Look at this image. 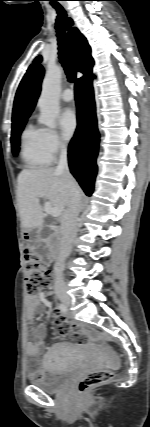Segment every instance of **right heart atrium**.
I'll return each instance as SVG.
<instances>
[{"label": "right heart atrium", "mask_w": 150, "mask_h": 427, "mask_svg": "<svg viewBox=\"0 0 150 427\" xmlns=\"http://www.w3.org/2000/svg\"><path fill=\"white\" fill-rule=\"evenodd\" d=\"M42 133H43V147L48 159L51 162L55 160V158L62 151L65 150L66 145L62 137L56 130L43 128Z\"/></svg>", "instance_id": "1"}]
</instances>
